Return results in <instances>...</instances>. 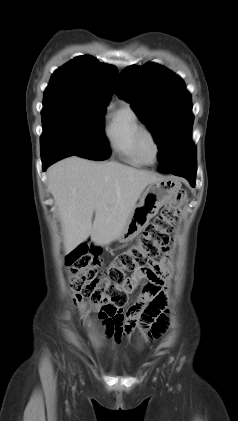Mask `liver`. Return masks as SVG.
Segmentation results:
<instances>
[{"instance_id":"obj_1","label":"liver","mask_w":238,"mask_h":421,"mask_svg":"<svg viewBox=\"0 0 238 421\" xmlns=\"http://www.w3.org/2000/svg\"><path fill=\"white\" fill-rule=\"evenodd\" d=\"M47 177L48 190L58 206L67 252L89 236L100 246L117 239L142 192L162 179L153 172L117 162L76 156L52 165Z\"/></svg>"}]
</instances>
